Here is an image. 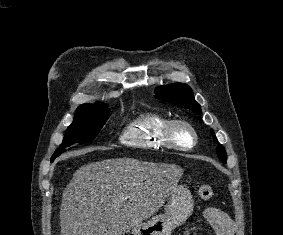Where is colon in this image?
Listing matches in <instances>:
<instances>
[{
    "label": "colon",
    "instance_id": "1",
    "mask_svg": "<svg viewBox=\"0 0 283 235\" xmlns=\"http://www.w3.org/2000/svg\"><path fill=\"white\" fill-rule=\"evenodd\" d=\"M197 190L200 198H202L203 200H209L213 197V188L207 183H199Z\"/></svg>",
    "mask_w": 283,
    "mask_h": 235
}]
</instances>
